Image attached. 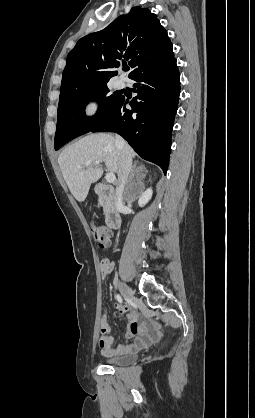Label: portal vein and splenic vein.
<instances>
[{"label": "portal vein and splenic vein", "mask_w": 255, "mask_h": 418, "mask_svg": "<svg viewBox=\"0 0 255 418\" xmlns=\"http://www.w3.org/2000/svg\"><path fill=\"white\" fill-rule=\"evenodd\" d=\"M99 164L97 163L96 166H98ZM78 168H82L81 166H78ZM105 179L108 183H113L116 180L115 174L114 173H107L105 176Z\"/></svg>", "instance_id": "1"}]
</instances>
